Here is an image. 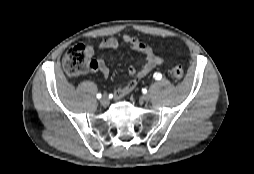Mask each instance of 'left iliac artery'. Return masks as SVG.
Here are the masks:
<instances>
[{
	"mask_svg": "<svg viewBox=\"0 0 254 174\" xmlns=\"http://www.w3.org/2000/svg\"><path fill=\"white\" fill-rule=\"evenodd\" d=\"M154 78H155L156 80H160V79L162 78V75H161L160 73H155V74H154Z\"/></svg>",
	"mask_w": 254,
	"mask_h": 174,
	"instance_id": "obj_1",
	"label": "left iliac artery"
}]
</instances>
